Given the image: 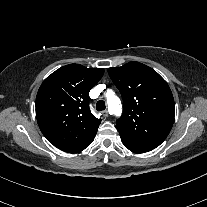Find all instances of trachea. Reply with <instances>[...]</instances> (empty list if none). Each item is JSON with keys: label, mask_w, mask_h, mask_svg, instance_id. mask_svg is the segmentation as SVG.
<instances>
[{"label": "trachea", "mask_w": 207, "mask_h": 207, "mask_svg": "<svg viewBox=\"0 0 207 207\" xmlns=\"http://www.w3.org/2000/svg\"><path fill=\"white\" fill-rule=\"evenodd\" d=\"M106 106H105V102L103 100H99L96 104V109L98 111H102L105 110Z\"/></svg>", "instance_id": "3493384b"}]
</instances>
